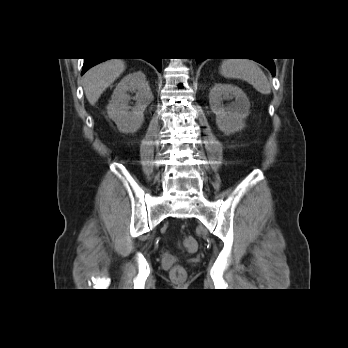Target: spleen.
I'll list each match as a JSON object with an SVG mask.
<instances>
[{"mask_svg": "<svg viewBox=\"0 0 348 348\" xmlns=\"http://www.w3.org/2000/svg\"><path fill=\"white\" fill-rule=\"evenodd\" d=\"M225 78L242 79L253 85L263 95L271 93V85L257 63L249 59H226L220 66Z\"/></svg>", "mask_w": 348, "mask_h": 348, "instance_id": "spleen-1", "label": "spleen"}]
</instances>
